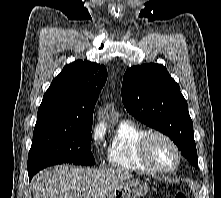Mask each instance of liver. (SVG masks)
I'll return each mask as SVG.
<instances>
[{"label": "liver", "instance_id": "liver-1", "mask_svg": "<svg viewBox=\"0 0 221 198\" xmlns=\"http://www.w3.org/2000/svg\"><path fill=\"white\" fill-rule=\"evenodd\" d=\"M133 175L120 169L73 168L57 165L38 173L34 198H105Z\"/></svg>", "mask_w": 221, "mask_h": 198}]
</instances>
